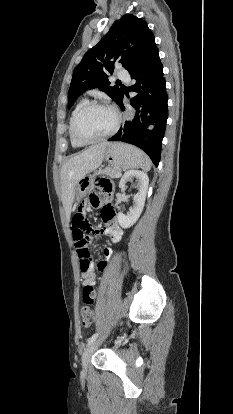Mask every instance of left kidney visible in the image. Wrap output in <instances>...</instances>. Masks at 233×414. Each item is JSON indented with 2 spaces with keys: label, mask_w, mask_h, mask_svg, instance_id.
<instances>
[{
  "label": "left kidney",
  "mask_w": 233,
  "mask_h": 414,
  "mask_svg": "<svg viewBox=\"0 0 233 414\" xmlns=\"http://www.w3.org/2000/svg\"><path fill=\"white\" fill-rule=\"evenodd\" d=\"M132 177H136L138 180V192L136 195H134V205L129 209L127 215L123 214L122 212H119L117 214L118 223L124 229L131 227L140 217L144 208L149 184V179L146 173L138 170H130L125 172L122 176L119 182V188L123 189L126 182Z\"/></svg>",
  "instance_id": "left-kidney-1"
}]
</instances>
